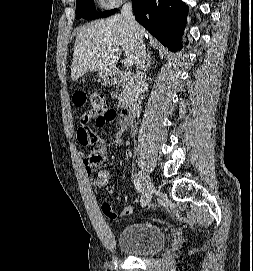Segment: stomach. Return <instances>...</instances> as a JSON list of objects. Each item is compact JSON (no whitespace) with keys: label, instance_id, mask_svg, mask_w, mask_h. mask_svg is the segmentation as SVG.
Segmentation results:
<instances>
[{"label":"stomach","instance_id":"1","mask_svg":"<svg viewBox=\"0 0 253 271\" xmlns=\"http://www.w3.org/2000/svg\"><path fill=\"white\" fill-rule=\"evenodd\" d=\"M98 75L105 83L112 84L114 82L112 72L99 71Z\"/></svg>","mask_w":253,"mask_h":271}]
</instances>
